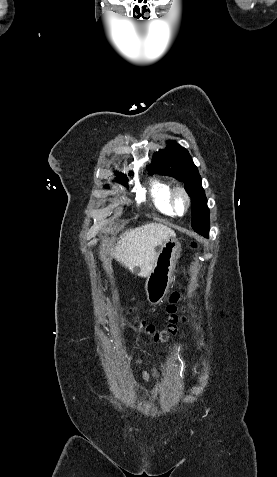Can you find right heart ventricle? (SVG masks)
<instances>
[{"instance_id": "obj_1", "label": "right heart ventricle", "mask_w": 277, "mask_h": 477, "mask_svg": "<svg viewBox=\"0 0 277 477\" xmlns=\"http://www.w3.org/2000/svg\"><path fill=\"white\" fill-rule=\"evenodd\" d=\"M171 187L165 181L152 179L149 184V194L153 205L161 213L174 216L176 213L170 204Z\"/></svg>"}]
</instances>
